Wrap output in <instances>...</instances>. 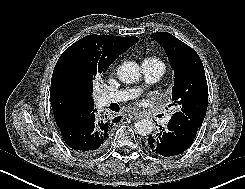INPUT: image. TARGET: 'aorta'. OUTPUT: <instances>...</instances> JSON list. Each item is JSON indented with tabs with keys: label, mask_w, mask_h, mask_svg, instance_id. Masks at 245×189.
<instances>
[{
	"label": "aorta",
	"mask_w": 245,
	"mask_h": 189,
	"mask_svg": "<svg viewBox=\"0 0 245 189\" xmlns=\"http://www.w3.org/2000/svg\"><path fill=\"white\" fill-rule=\"evenodd\" d=\"M117 76L124 83H135L141 77V70L136 62H123L118 68ZM134 128L136 133L146 136L152 132L154 127L149 119H140L135 122Z\"/></svg>",
	"instance_id": "1"
}]
</instances>
